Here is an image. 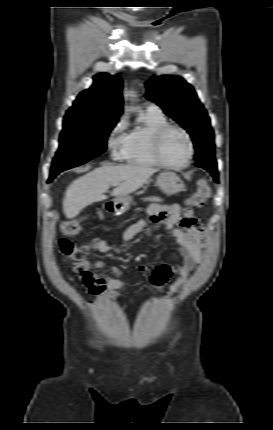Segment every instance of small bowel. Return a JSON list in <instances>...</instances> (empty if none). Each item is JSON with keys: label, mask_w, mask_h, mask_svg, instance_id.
Wrapping results in <instances>:
<instances>
[{"label": "small bowel", "mask_w": 273, "mask_h": 430, "mask_svg": "<svg viewBox=\"0 0 273 430\" xmlns=\"http://www.w3.org/2000/svg\"><path fill=\"white\" fill-rule=\"evenodd\" d=\"M147 216L154 224H165L177 239L180 249L181 264L179 266V278L171 284V290L177 291L188 279L190 272L196 265L202 262L203 248L207 243V235L202 223L194 217L191 210L182 212L177 204L154 203L147 208ZM146 224L145 219L131 225L123 235L124 245L140 233ZM91 248L101 253H109L112 250L116 253L122 251V247L112 248L105 238H95L91 242ZM88 259L75 263L73 271L80 277V282L92 294L101 295L103 299L119 298V290L126 286L131 279L119 278L120 271L116 267L109 269L110 275L104 277L103 274H93L88 268ZM97 269H102L103 264L96 263ZM145 266L138 268L139 272L145 270ZM172 274L168 265H162L154 271L151 282L157 287H162Z\"/></svg>", "instance_id": "small-bowel-1"}]
</instances>
